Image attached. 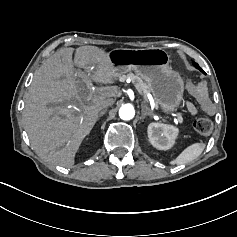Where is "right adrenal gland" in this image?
Segmentation results:
<instances>
[{
  "label": "right adrenal gland",
  "instance_id": "2a0ac1e0",
  "mask_svg": "<svg viewBox=\"0 0 237 237\" xmlns=\"http://www.w3.org/2000/svg\"><path fill=\"white\" fill-rule=\"evenodd\" d=\"M107 111H108L107 109L102 110V111L99 113L97 120H99L103 115H105V114L107 113Z\"/></svg>",
  "mask_w": 237,
  "mask_h": 237
}]
</instances>
